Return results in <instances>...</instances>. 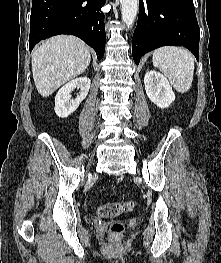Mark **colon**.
Masks as SVG:
<instances>
[{
  "label": "colon",
  "instance_id": "obj_1",
  "mask_svg": "<svg viewBox=\"0 0 221 263\" xmlns=\"http://www.w3.org/2000/svg\"><path fill=\"white\" fill-rule=\"evenodd\" d=\"M133 201L105 203L98 208V214L104 218L116 217L122 213L130 212L134 209ZM124 226L121 222H114L110 227V237L119 240L123 234Z\"/></svg>",
  "mask_w": 221,
  "mask_h": 263
}]
</instances>
